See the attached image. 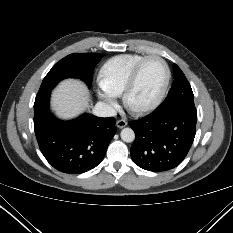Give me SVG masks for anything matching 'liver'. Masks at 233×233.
Listing matches in <instances>:
<instances>
[{
  "mask_svg": "<svg viewBox=\"0 0 233 233\" xmlns=\"http://www.w3.org/2000/svg\"><path fill=\"white\" fill-rule=\"evenodd\" d=\"M89 101L90 95L85 84L79 80L67 79L52 92L51 106L59 118L68 120L89 108Z\"/></svg>",
  "mask_w": 233,
  "mask_h": 233,
  "instance_id": "liver-1",
  "label": "liver"
}]
</instances>
